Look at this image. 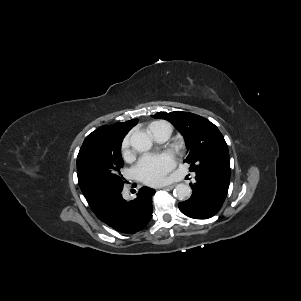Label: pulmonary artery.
Returning <instances> with one entry per match:
<instances>
[{"label": "pulmonary artery", "instance_id": "obj_1", "mask_svg": "<svg viewBox=\"0 0 301 301\" xmlns=\"http://www.w3.org/2000/svg\"><path fill=\"white\" fill-rule=\"evenodd\" d=\"M171 132V126L165 122H159L150 127L151 135L159 143L167 141L171 135Z\"/></svg>", "mask_w": 301, "mask_h": 301}]
</instances>
